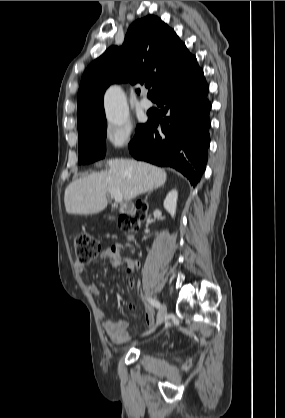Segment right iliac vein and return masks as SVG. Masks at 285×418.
<instances>
[{"instance_id": "obj_1", "label": "right iliac vein", "mask_w": 285, "mask_h": 418, "mask_svg": "<svg viewBox=\"0 0 285 418\" xmlns=\"http://www.w3.org/2000/svg\"><path fill=\"white\" fill-rule=\"evenodd\" d=\"M165 317H166V307L163 305L159 309V312H158V315H157V322H156L155 327L152 328L151 330H149L148 332H146L145 334H149V333L153 332L158 326H160L164 322Z\"/></svg>"}]
</instances>
